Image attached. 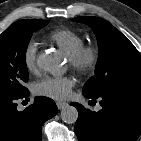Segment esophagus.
Here are the masks:
<instances>
[{
    "label": "esophagus",
    "instance_id": "1",
    "mask_svg": "<svg viewBox=\"0 0 141 141\" xmlns=\"http://www.w3.org/2000/svg\"><path fill=\"white\" fill-rule=\"evenodd\" d=\"M56 105H57V108L59 110H62V109L66 108L68 106V103H66V102H57Z\"/></svg>",
    "mask_w": 141,
    "mask_h": 141
}]
</instances>
